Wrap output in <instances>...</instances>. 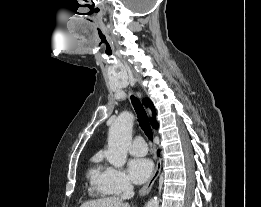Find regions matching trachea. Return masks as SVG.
<instances>
[{
    "label": "trachea",
    "instance_id": "1",
    "mask_svg": "<svg viewBox=\"0 0 261 207\" xmlns=\"http://www.w3.org/2000/svg\"><path fill=\"white\" fill-rule=\"evenodd\" d=\"M132 105L135 109V112L138 117V122L140 124L141 129L144 131L145 135L149 138V140L153 139L152 129L149 123V119L147 113L141 104V102L135 96H131Z\"/></svg>",
    "mask_w": 261,
    "mask_h": 207
}]
</instances>
